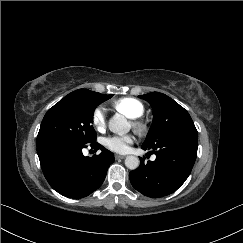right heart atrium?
<instances>
[{"label": "right heart atrium", "mask_w": 243, "mask_h": 243, "mask_svg": "<svg viewBox=\"0 0 243 243\" xmlns=\"http://www.w3.org/2000/svg\"><path fill=\"white\" fill-rule=\"evenodd\" d=\"M92 123L98 131H102L106 127V115L101 106L96 107L92 112Z\"/></svg>", "instance_id": "right-heart-atrium-1"}]
</instances>
